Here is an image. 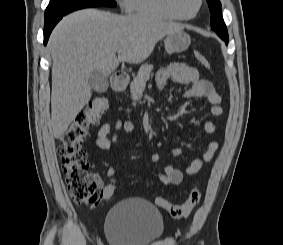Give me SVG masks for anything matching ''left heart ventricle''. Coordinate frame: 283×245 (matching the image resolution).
Instances as JSON below:
<instances>
[{"label": "left heart ventricle", "mask_w": 283, "mask_h": 245, "mask_svg": "<svg viewBox=\"0 0 283 245\" xmlns=\"http://www.w3.org/2000/svg\"><path fill=\"white\" fill-rule=\"evenodd\" d=\"M177 7L181 14L190 15L197 7V0H176Z\"/></svg>", "instance_id": "b2bd125f"}]
</instances>
